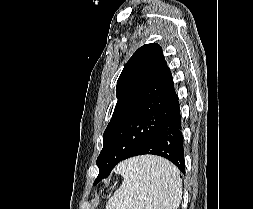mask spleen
Instances as JSON below:
<instances>
[{"label":"spleen","mask_w":253,"mask_h":209,"mask_svg":"<svg viewBox=\"0 0 253 209\" xmlns=\"http://www.w3.org/2000/svg\"><path fill=\"white\" fill-rule=\"evenodd\" d=\"M115 172L124 180L106 209H177L182 199L180 172L168 160L139 156L120 163Z\"/></svg>","instance_id":"obj_1"}]
</instances>
